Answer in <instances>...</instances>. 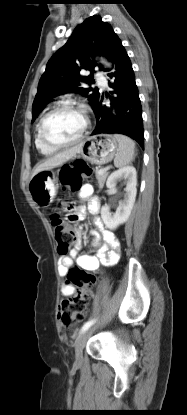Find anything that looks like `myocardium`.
Instances as JSON below:
<instances>
[{
    "instance_id": "myocardium-1",
    "label": "myocardium",
    "mask_w": 187,
    "mask_h": 415,
    "mask_svg": "<svg viewBox=\"0 0 187 415\" xmlns=\"http://www.w3.org/2000/svg\"><path fill=\"white\" fill-rule=\"evenodd\" d=\"M61 108H73V109H76V110L80 111L84 116L85 124H84V127H83L81 133L75 139L67 141V142H60L59 143V142L51 141L50 139H48L46 137V135H45V124H46V121L48 120V118L53 113H55L57 110H59ZM90 124H91L90 119H89L87 113L81 107L76 105L74 102L66 100V101H61V102L56 103L54 106H52V108L49 111H47L45 113V115L40 120L39 127H38V133H39V137H40L41 141L45 145H47L48 147H51V148L61 149V148H66V147H69V146H72V145H75V144L79 143L85 137V135L87 134V132L90 128Z\"/></svg>"
}]
</instances>
